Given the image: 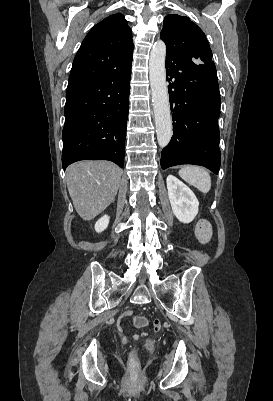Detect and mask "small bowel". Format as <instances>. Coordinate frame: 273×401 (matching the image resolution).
Segmentation results:
<instances>
[{"label": "small bowel", "mask_w": 273, "mask_h": 401, "mask_svg": "<svg viewBox=\"0 0 273 401\" xmlns=\"http://www.w3.org/2000/svg\"><path fill=\"white\" fill-rule=\"evenodd\" d=\"M123 316H124L125 319H132L133 316H134V313H133L132 310H125L124 313H123ZM134 321H147V319H146V317H144V316H136L135 319H134ZM118 322H119V321H118ZM119 332H120V333H123V332H124V329H123V328H120V329H119ZM153 332H154L155 334H160V333L162 332V329H161V319H160V318H155V319H154V329H153ZM140 337H141V338H146V337H147V332H146V331H141V332H140Z\"/></svg>", "instance_id": "1"}]
</instances>
